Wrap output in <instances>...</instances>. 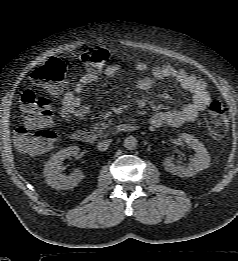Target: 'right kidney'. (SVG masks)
Instances as JSON below:
<instances>
[{"label": "right kidney", "mask_w": 238, "mask_h": 261, "mask_svg": "<svg viewBox=\"0 0 238 261\" xmlns=\"http://www.w3.org/2000/svg\"><path fill=\"white\" fill-rule=\"evenodd\" d=\"M78 154L79 148L77 146H69L54 154L45 163L43 173L49 186L57 190H68L77 186L82 181L84 174L79 169H76L70 176L61 174L63 161L71 156L77 157Z\"/></svg>", "instance_id": "obj_1"}]
</instances>
